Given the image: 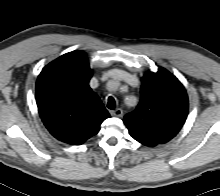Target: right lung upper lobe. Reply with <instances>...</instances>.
I'll return each instance as SVG.
<instances>
[{
  "label": "right lung upper lobe",
  "instance_id": "1",
  "mask_svg": "<svg viewBox=\"0 0 220 196\" xmlns=\"http://www.w3.org/2000/svg\"><path fill=\"white\" fill-rule=\"evenodd\" d=\"M92 70L83 51L62 55L45 66L36 83L39 115L59 141L81 145L110 115L89 87Z\"/></svg>",
  "mask_w": 220,
  "mask_h": 196
}]
</instances>
